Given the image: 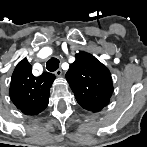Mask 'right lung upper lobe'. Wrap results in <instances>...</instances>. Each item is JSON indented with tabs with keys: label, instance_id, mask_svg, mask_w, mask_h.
Here are the masks:
<instances>
[{
	"label": "right lung upper lobe",
	"instance_id": "cb5924a9",
	"mask_svg": "<svg viewBox=\"0 0 147 147\" xmlns=\"http://www.w3.org/2000/svg\"><path fill=\"white\" fill-rule=\"evenodd\" d=\"M55 75L44 72L35 77L32 66L23 59L16 66L10 83V98L15 106L26 115H37L48 105L50 87Z\"/></svg>",
	"mask_w": 147,
	"mask_h": 147
}]
</instances>
